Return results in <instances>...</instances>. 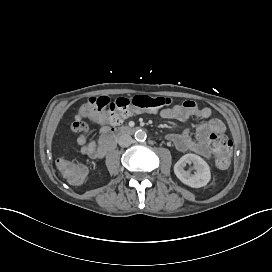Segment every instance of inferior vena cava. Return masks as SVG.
Here are the masks:
<instances>
[{
    "instance_id": "1",
    "label": "inferior vena cava",
    "mask_w": 272,
    "mask_h": 272,
    "mask_svg": "<svg viewBox=\"0 0 272 272\" xmlns=\"http://www.w3.org/2000/svg\"><path fill=\"white\" fill-rule=\"evenodd\" d=\"M118 143L121 147H128L132 144V137L128 134H123L119 137Z\"/></svg>"
}]
</instances>
